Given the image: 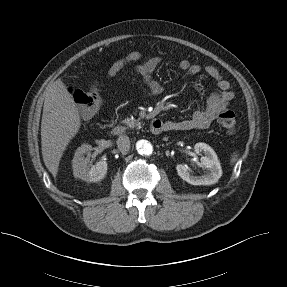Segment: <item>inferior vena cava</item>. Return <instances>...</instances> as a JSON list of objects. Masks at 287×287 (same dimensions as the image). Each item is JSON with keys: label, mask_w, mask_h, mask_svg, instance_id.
Masks as SVG:
<instances>
[{"label": "inferior vena cava", "mask_w": 287, "mask_h": 287, "mask_svg": "<svg viewBox=\"0 0 287 287\" xmlns=\"http://www.w3.org/2000/svg\"><path fill=\"white\" fill-rule=\"evenodd\" d=\"M117 145L122 153H126L130 149V139L126 135H121L117 139Z\"/></svg>", "instance_id": "602c4592"}]
</instances>
